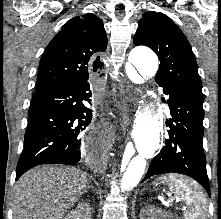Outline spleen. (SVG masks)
Returning <instances> with one entry per match:
<instances>
[{
    "instance_id": "spleen-1",
    "label": "spleen",
    "mask_w": 221,
    "mask_h": 219,
    "mask_svg": "<svg viewBox=\"0 0 221 219\" xmlns=\"http://www.w3.org/2000/svg\"><path fill=\"white\" fill-rule=\"evenodd\" d=\"M160 183L166 184L187 207L183 216L185 219H208V204L200 185L184 176L170 174L159 178Z\"/></svg>"
}]
</instances>
